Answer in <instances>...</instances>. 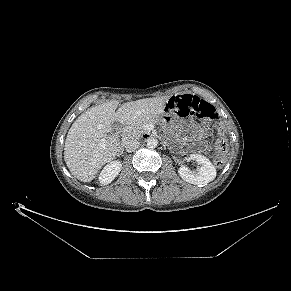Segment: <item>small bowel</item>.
I'll return each mask as SVG.
<instances>
[{"label": "small bowel", "mask_w": 291, "mask_h": 291, "mask_svg": "<svg viewBox=\"0 0 291 291\" xmlns=\"http://www.w3.org/2000/svg\"><path fill=\"white\" fill-rule=\"evenodd\" d=\"M182 96L196 97V96H193V95H190V94H185V95H182Z\"/></svg>", "instance_id": "small-bowel-1"}]
</instances>
